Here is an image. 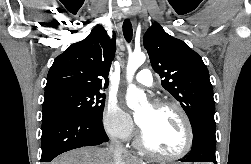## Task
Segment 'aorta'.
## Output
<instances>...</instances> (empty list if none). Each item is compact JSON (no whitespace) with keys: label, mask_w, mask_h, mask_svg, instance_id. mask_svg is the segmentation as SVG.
Here are the masks:
<instances>
[{"label":"aorta","mask_w":251,"mask_h":164,"mask_svg":"<svg viewBox=\"0 0 251 164\" xmlns=\"http://www.w3.org/2000/svg\"><path fill=\"white\" fill-rule=\"evenodd\" d=\"M145 60L146 56L143 52L133 53L128 59L126 73L129 86L127 89L126 102L127 106L131 109H136L140 103L146 101L144 91L138 89L132 84V79L136 70L145 62Z\"/></svg>","instance_id":"obj_1"}]
</instances>
